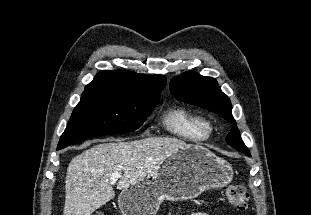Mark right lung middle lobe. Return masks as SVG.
<instances>
[{
    "label": "right lung middle lobe",
    "mask_w": 311,
    "mask_h": 215,
    "mask_svg": "<svg viewBox=\"0 0 311 215\" xmlns=\"http://www.w3.org/2000/svg\"><path fill=\"white\" fill-rule=\"evenodd\" d=\"M159 99L102 92L83 93L61 135L57 150L86 138L137 130Z\"/></svg>",
    "instance_id": "obj_1"
}]
</instances>
